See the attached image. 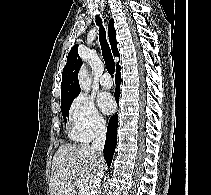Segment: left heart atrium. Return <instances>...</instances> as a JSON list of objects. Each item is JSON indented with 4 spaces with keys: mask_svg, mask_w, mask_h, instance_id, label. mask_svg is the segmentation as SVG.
I'll list each match as a JSON object with an SVG mask.
<instances>
[{
    "mask_svg": "<svg viewBox=\"0 0 211 195\" xmlns=\"http://www.w3.org/2000/svg\"><path fill=\"white\" fill-rule=\"evenodd\" d=\"M99 105L101 109L103 110V112H105L106 114L113 113L116 108V104L112 96L109 94H102L99 97Z\"/></svg>",
    "mask_w": 211,
    "mask_h": 195,
    "instance_id": "1",
    "label": "left heart atrium"
}]
</instances>
